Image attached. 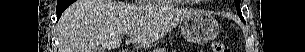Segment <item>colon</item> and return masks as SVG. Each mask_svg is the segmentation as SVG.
Listing matches in <instances>:
<instances>
[{
	"label": "colon",
	"instance_id": "1",
	"mask_svg": "<svg viewBox=\"0 0 305 52\" xmlns=\"http://www.w3.org/2000/svg\"><path fill=\"white\" fill-rule=\"evenodd\" d=\"M212 50L214 52H230V48L221 41H214L212 43Z\"/></svg>",
	"mask_w": 305,
	"mask_h": 52
}]
</instances>
